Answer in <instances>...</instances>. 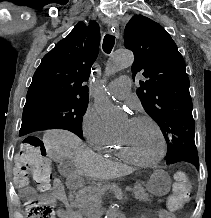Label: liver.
Returning <instances> with one entry per match:
<instances>
[{"mask_svg": "<svg viewBox=\"0 0 211 218\" xmlns=\"http://www.w3.org/2000/svg\"><path fill=\"white\" fill-rule=\"evenodd\" d=\"M43 142L47 144L49 156L73 160L76 174L92 176V178H100V180H112V178H120L127 174L126 166L93 154L87 150L86 146H82V140L78 136L66 132V130L45 132Z\"/></svg>", "mask_w": 211, "mask_h": 218, "instance_id": "liver-1", "label": "liver"}]
</instances>
